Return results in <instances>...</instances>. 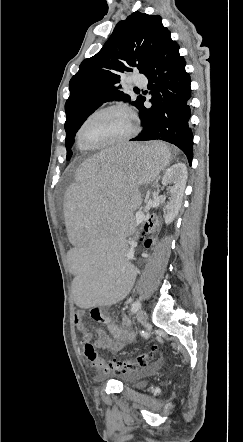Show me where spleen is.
Masks as SVG:
<instances>
[{
    "label": "spleen",
    "mask_w": 243,
    "mask_h": 442,
    "mask_svg": "<svg viewBox=\"0 0 243 442\" xmlns=\"http://www.w3.org/2000/svg\"><path fill=\"white\" fill-rule=\"evenodd\" d=\"M171 160L162 142L102 147L86 163H78L73 182L64 194L66 228L74 242L70 274H75L71 295L76 307H110L115 296L134 291V253L143 244H131L124 254L121 237H134V214L144 209V184L164 178ZM124 192V193H94Z\"/></svg>",
    "instance_id": "1"
}]
</instances>
